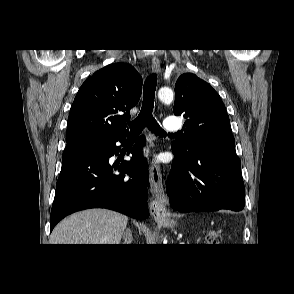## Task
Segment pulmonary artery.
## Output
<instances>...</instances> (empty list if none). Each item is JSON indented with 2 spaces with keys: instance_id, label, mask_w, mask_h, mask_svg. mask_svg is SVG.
I'll return each mask as SVG.
<instances>
[{
  "instance_id": "obj_1",
  "label": "pulmonary artery",
  "mask_w": 294,
  "mask_h": 294,
  "mask_svg": "<svg viewBox=\"0 0 294 294\" xmlns=\"http://www.w3.org/2000/svg\"><path fill=\"white\" fill-rule=\"evenodd\" d=\"M164 126L167 130L175 131L180 128V123L177 117L168 116L164 121Z\"/></svg>"
}]
</instances>
